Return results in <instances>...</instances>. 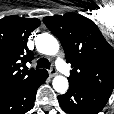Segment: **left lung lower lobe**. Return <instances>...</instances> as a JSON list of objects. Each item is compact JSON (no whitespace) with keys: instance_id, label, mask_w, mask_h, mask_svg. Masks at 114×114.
I'll return each instance as SVG.
<instances>
[{"instance_id":"1","label":"left lung lower lobe","mask_w":114,"mask_h":114,"mask_svg":"<svg viewBox=\"0 0 114 114\" xmlns=\"http://www.w3.org/2000/svg\"><path fill=\"white\" fill-rule=\"evenodd\" d=\"M111 94L70 84L67 93L58 96L62 109L70 114H97L108 102Z\"/></svg>"}]
</instances>
